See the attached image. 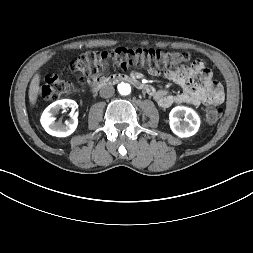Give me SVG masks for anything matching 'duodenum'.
<instances>
[{
	"mask_svg": "<svg viewBox=\"0 0 253 253\" xmlns=\"http://www.w3.org/2000/svg\"><path fill=\"white\" fill-rule=\"evenodd\" d=\"M118 82H127V83L132 84L135 88L145 91L148 94L153 93V88L150 85H147L141 82L135 77H132L129 75H122V74L110 75V76L104 77L100 81L95 82L92 86V91L96 92L105 86L116 84Z\"/></svg>",
	"mask_w": 253,
	"mask_h": 253,
	"instance_id": "duodenum-1",
	"label": "duodenum"
}]
</instances>
